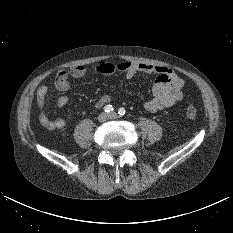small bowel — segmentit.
Listing matches in <instances>:
<instances>
[{"mask_svg": "<svg viewBox=\"0 0 233 233\" xmlns=\"http://www.w3.org/2000/svg\"><path fill=\"white\" fill-rule=\"evenodd\" d=\"M91 70L103 75H111L115 72L121 73L130 79L137 74H156V79L152 87V97L148 99L144 107L149 112H156L164 108L172 107L184 98V80L169 67L153 65L143 62L122 61L120 63H99L91 67ZM89 69L83 65H75L67 70L60 71L54 78V86L59 91H66L70 88L72 79L83 78ZM118 88H122V81L118 83ZM49 89L42 85L37 90L38 119L43 127L49 130L63 129L66 122L61 117L50 119L46 113V98ZM112 100V96L107 94L100 97L95 106L103 107ZM68 103L67 96H60L56 105L62 109Z\"/></svg>", "mask_w": 233, "mask_h": 233, "instance_id": "c3829d8e", "label": "small bowel"}]
</instances>
